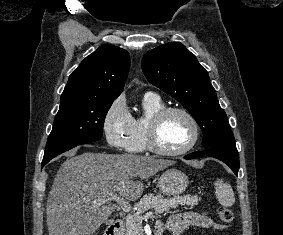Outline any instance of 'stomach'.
<instances>
[{
	"label": "stomach",
	"instance_id": "stomach-1",
	"mask_svg": "<svg viewBox=\"0 0 283 235\" xmlns=\"http://www.w3.org/2000/svg\"><path fill=\"white\" fill-rule=\"evenodd\" d=\"M188 186V177L178 169H168L159 177L158 188L163 195L177 196Z\"/></svg>",
	"mask_w": 283,
	"mask_h": 235
}]
</instances>
